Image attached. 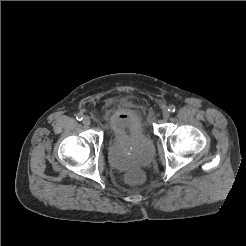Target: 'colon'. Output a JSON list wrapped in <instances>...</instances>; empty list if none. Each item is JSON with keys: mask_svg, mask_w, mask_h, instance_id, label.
<instances>
[{"mask_svg": "<svg viewBox=\"0 0 246 246\" xmlns=\"http://www.w3.org/2000/svg\"><path fill=\"white\" fill-rule=\"evenodd\" d=\"M126 178L129 183L138 184L142 182L143 174L138 170H133L127 174Z\"/></svg>", "mask_w": 246, "mask_h": 246, "instance_id": "5ec220e1", "label": "colon"}]
</instances>
